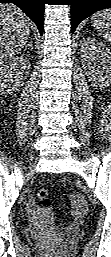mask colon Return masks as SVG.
<instances>
[{"mask_svg":"<svg viewBox=\"0 0 111 257\" xmlns=\"http://www.w3.org/2000/svg\"><path fill=\"white\" fill-rule=\"evenodd\" d=\"M38 209L43 213H48L52 208V203L49 197V192L46 189H41L37 193Z\"/></svg>","mask_w":111,"mask_h":257,"instance_id":"colon-1","label":"colon"}]
</instances>
